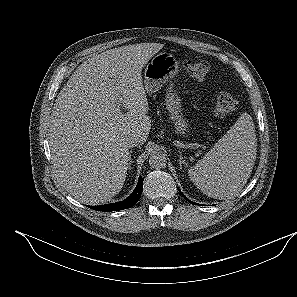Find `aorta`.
I'll return each mask as SVG.
<instances>
[{
  "label": "aorta",
  "instance_id": "1",
  "mask_svg": "<svg viewBox=\"0 0 297 297\" xmlns=\"http://www.w3.org/2000/svg\"><path fill=\"white\" fill-rule=\"evenodd\" d=\"M166 162V156L161 152H153L149 157V165L154 169L165 168Z\"/></svg>",
  "mask_w": 297,
  "mask_h": 297
}]
</instances>
